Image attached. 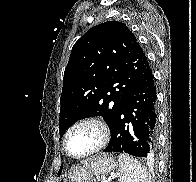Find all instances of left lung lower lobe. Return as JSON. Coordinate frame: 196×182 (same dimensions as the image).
Listing matches in <instances>:
<instances>
[{"instance_id": "obj_1", "label": "left lung lower lobe", "mask_w": 196, "mask_h": 182, "mask_svg": "<svg viewBox=\"0 0 196 182\" xmlns=\"http://www.w3.org/2000/svg\"><path fill=\"white\" fill-rule=\"evenodd\" d=\"M156 87L150 66L122 103L105 152L151 159L156 154Z\"/></svg>"}]
</instances>
